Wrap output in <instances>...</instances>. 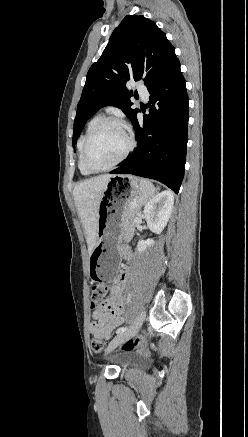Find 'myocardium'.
<instances>
[{
    "label": "myocardium",
    "instance_id": "myocardium-1",
    "mask_svg": "<svg viewBox=\"0 0 248 437\" xmlns=\"http://www.w3.org/2000/svg\"><path fill=\"white\" fill-rule=\"evenodd\" d=\"M107 124H117L120 127H122L126 133L128 145H127L126 150L120 156V158L117 159L114 163H112L111 165L104 167V168H96L89 161V156H88L89 147H90V144H91L93 138L96 136V134ZM134 147H135V140H134L132 131L123 120L116 118V117L101 118L94 125V127L91 129V131L89 132L88 136L86 137V139L84 141L83 150H82V159H83L84 166L92 173L106 172V171L112 170L117 165L122 163L130 155V153L133 151Z\"/></svg>",
    "mask_w": 248,
    "mask_h": 437
}]
</instances>
